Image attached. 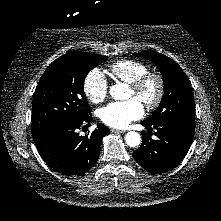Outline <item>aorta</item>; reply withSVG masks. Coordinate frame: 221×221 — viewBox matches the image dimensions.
<instances>
[{"label": "aorta", "instance_id": "aorta-1", "mask_svg": "<svg viewBox=\"0 0 221 221\" xmlns=\"http://www.w3.org/2000/svg\"><path fill=\"white\" fill-rule=\"evenodd\" d=\"M128 86L124 83H117L110 87L109 93L115 100L126 99ZM125 142L130 147H137L141 143V136L138 132L130 131L125 136Z\"/></svg>", "mask_w": 221, "mask_h": 221}]
</instances>
